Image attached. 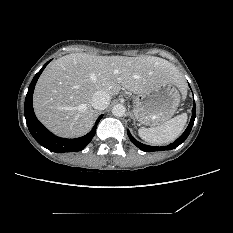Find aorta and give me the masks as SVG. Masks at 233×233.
<instances>
[{"instance_id":"obj_1","label":"aorta","mask_w":233,"mask_h":233,"mask_svg":"<svg viewBox=\"0 0 233 233\" xmlns=\"http://www.w3.org/2000/svg\"><path fill=\"white\" fill-rule=\"evenodd\" d=\"M126 108L123 104H116L112 108V114L116 117H122L125 115Z\"/></svg>"}]
</instances>
